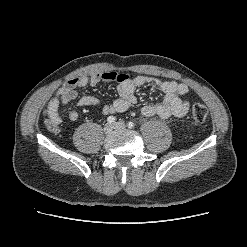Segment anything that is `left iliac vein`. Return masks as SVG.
Wrapping results in <instances>:
<instances>
[{
	"instance_id": "4c4485c4",
	"label": "left iliac vein",
	"mask_w": 247,
	"mask_h": 247,
	"mask_svg": "<svg viewBox=\"0 0 247 247\" xmlns=\"http://www.w3.org/2000/svg\"><path fill=\"white\" fill-rule=\"evenodd\" d=\"M113 127H114L115 129H125V128H126V125H125V123H123V122H121V121H118V122H115V123L113 124Z\"/></svg>"
}]
</instances>
